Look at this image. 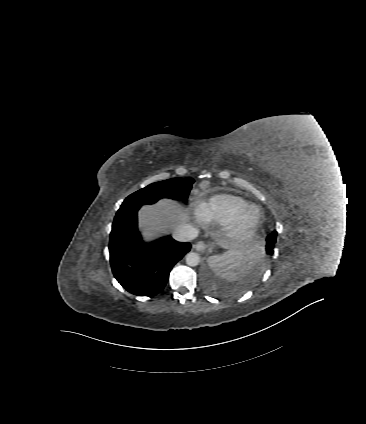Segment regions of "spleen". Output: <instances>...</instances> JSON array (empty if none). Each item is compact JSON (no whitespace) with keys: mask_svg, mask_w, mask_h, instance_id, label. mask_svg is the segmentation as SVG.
<instances>
[{"mask_svg":"<svg viewBox=\"0 0 366 424\" xmlns=\"http://www.w3.org/2000/svg\"><path fill=\"white\" fill-rule=\"evenodd\" d=\"M259 257V247L247 245L240 250L228 251L210 257L209 265L217 275L234 281L246 275Z\"/></svg>","mask_w":366,"mask_h":424,"instance_id":"3e777b00","label":"spleen"}]
</instances>
